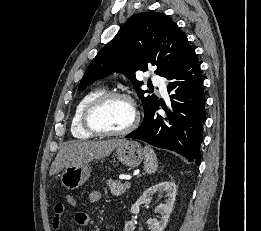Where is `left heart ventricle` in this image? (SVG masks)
Here are the masks:
<instances>
[{
    "mask_svg": "<svg viewBox=\"0 0 261 231\" xmlns=\"http://www.w3.org/2000/svg\"><path fill=\"white\" fill-rule=\"evenodd\" d=\"M132 104L123 98H114L99 107L93 114L94 124L102 130L120 131L133 120Z\"/></svg>",
    "mask_w": 261,
    "mask_h": 231,
    "instance_id": "b2bd125f",
    "label": "left heart ventricle"
}]
</instances>
